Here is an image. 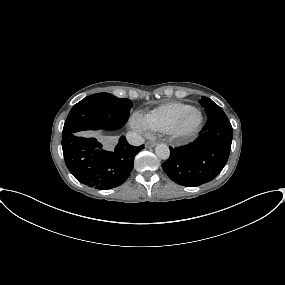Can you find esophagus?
Wrapping results in <instances>:
<instances>
[{
  "label": "esophagus",
  "instance_id": "obj_1",
  "mask_svg": "<svg viewBox=\"0 0 285 285\" xmlns=\"http://www.w3.org/2000/svg\"><path fill=\"white\" fill-rule=\"evenodd\" d=\"M145 145H146L147 148H152V147H154L156 145V142L148 141V142H146Z\"/></svg>",
  "mask_w": 285,
  "mask_h": 285
}]
</instances>
